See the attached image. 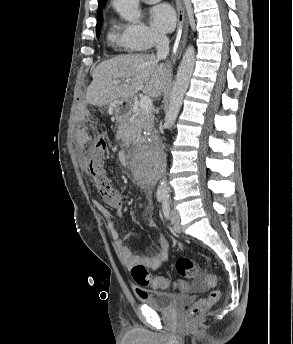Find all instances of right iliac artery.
Masks as SVG:
<instances>
[{"label": "right iliac artery", "instance_id": "obj_1", "mask_svg": "<svg viewBox=\"0 0 293 344\" xmlns=\"http://www.w3.org/2000/svg\"><path fill=\"white\" fill-rule=\"evenodd\" d=\"M164 199H165L164 196H159V197H158V200H159V201H163Z\"/></svg>", "mask_w": 293, "mask_h": 344}]
</instances>
